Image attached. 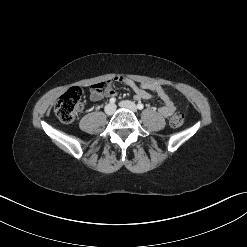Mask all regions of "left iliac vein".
Returning <instances> with one entry per match:
<instances>
[{"instance_id": "4c4485c4", "label": "left iliac vein", "mask_w": 247, "mask_h": 247, "mask_svg": "<svg viewBox=\"0 0 247 247\" xmlns=\"http://www.w3.org/2000/svg\"><path fill=\"white\" fill-rule=\"evenodd\" d=\"M119 106L122 107V108L129 109L132 112H136L137 111V106L133 102L128 101V100L121 101L119 103Z\"/></svg>"}]
</instances>
